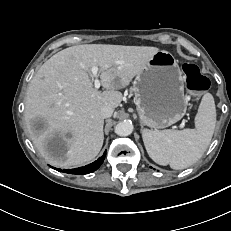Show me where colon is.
Instances as JSON below:
<instances>
[{"mask_svg":"<svg viewBox=\"0 0 231 231\" xmlns=\"http://www.w3.org/2000/svg\"><path fill=\"white\" fill-rule=\"evenodd\" d=\"M186 77L187 87L194 92H202L209 88L210 82L207 77L201 74L199 68L191 63L182 66Z\"/></svg>","mask_w":231,"mask_h":231,"instance_id":"5ec220e1","label":"colon"}]
</instances>
